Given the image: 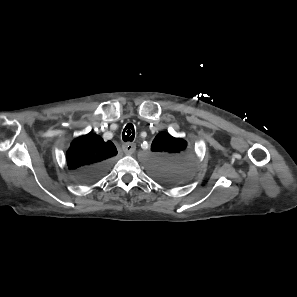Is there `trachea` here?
<instances>
[{
  "label": "trachea",
  "mask_w": 297,
  "mask_h": 297,
  "mask_svg": "<svg viewBox=\"0 0 297 297\" xmlns=\"http://www.w3.org/2000/svg\"><path fill=\"white\" fill-rule=\"evenodd\" d=\"M135 137L134 126L131 123H128L123 130L122 139L124 142H132Z\"/></svg>",
  "instance_id": "trachea-1"
}]
</instances>
